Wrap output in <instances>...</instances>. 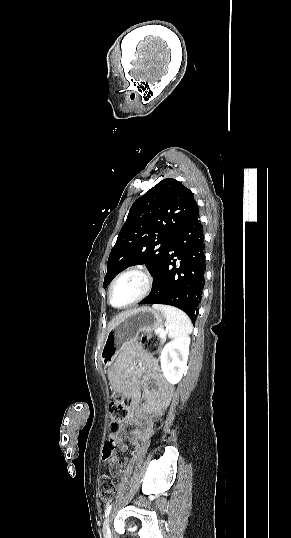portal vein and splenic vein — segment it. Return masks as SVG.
Segmentation results:
<instances>
[{
  "label": "portal vein and splenic vein",
  "mask_w": 291,
  "mask_h": 538,
  "mask_svg": "<svg viewBox=\"0 0 291 538\" xmlns=\"http://www.w3.org/2000/svg\"><path fill=\"white\" fill-rule=\"evenodd\" d=\"M160 336H162V337L166 336V332H164V331L160 332Z\"/></svg>",
  "instance_id": "obj_1"
}]
</instances>
